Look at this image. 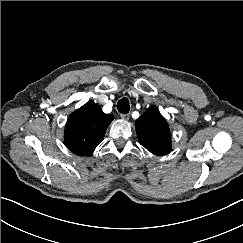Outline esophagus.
<instances>
[{"mask_svg": "<svg viewBox=\"0 0 243 243\" xmlns=\"http://www.w3.org/2000/svg\"><path fill=\"white\" fill-rule=\"evenodd\" d=\"M120 116L123 120H126V121L129 120V117H130L129 114H121Z\"/></svg>", "mask_w": 243, "mask_h": 243, "instance_id": "34e87169", "label": "esophagus"}]
</instances>
